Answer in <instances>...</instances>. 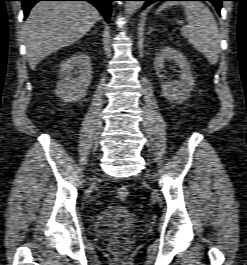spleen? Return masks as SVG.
Returning <instances> with one entry per match:
<instances>
[{
    "instance_id": "1",
    "label": "spleen",
    "mask_w": 247,
    "mask_h": 265,
    "mask_svg": "<svg viewBox=\"0 0 247 265\" xmlns=\"http://www.w3.org/2000/svg\"><path fill=\"white\" fill-rule=\"evenodd\" d=\"M173 5L184 7L188 24L180 29L181 35L202 53L210 64H216L220 51V35L211 11L199 1H167L157 12Z\"/></svg>"
}]
</instances>
